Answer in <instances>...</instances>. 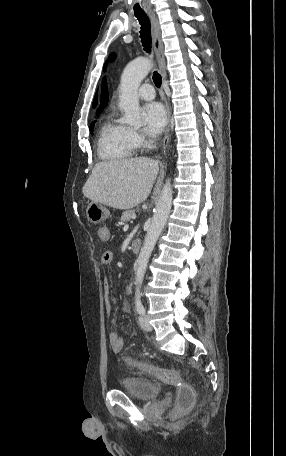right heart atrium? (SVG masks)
<instances>
[{
  "mask_svg": "<svg viewBox=\"0 0 286 456\" xmlns=\"http://www.w3.org/2000/svg\"><path fill=\"white\" fill-rule=\"evenodd\" d=\"M131 136L137 146H142L145 144L144 136L138 131L131 130Z\"/></svg>",
  "mask_w": 286,
  "mask_h": 456,
  "instance_id": "obj_1",
  "label": "right heart atrium"
}]
</instances>
